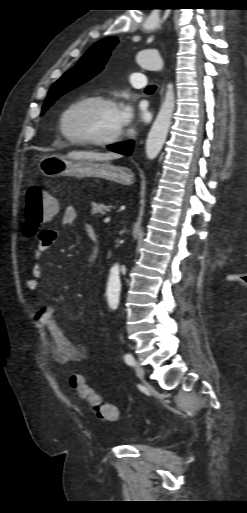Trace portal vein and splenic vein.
I'll use <instances>...</instances> for the list:
<instances>
[{
    "label": "portal vein and splenic vein",
    "instance_id": "obj_1",
    "mask_svg": "<svg viewBox=\"0 0 247 513\" xmlns=\"http://www.w3.org/2000/svg\"><path fill=\"white\" fill-rule=\"evenodd\" d=\"M103 222L104 223H109L110 222V218L109 217L105 218Z\"/></svg>",
    "mask_w": 247,
    "mask_h": 513
}]
</instances>
